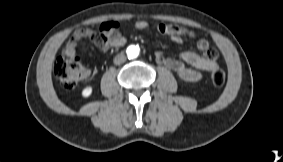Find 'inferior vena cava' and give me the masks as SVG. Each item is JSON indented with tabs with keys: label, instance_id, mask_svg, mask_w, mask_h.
<instances>
[{
	"label": "inferior vena cava",
	"instance_id": "602c4592",
	"mask_svg": "<svg viewBox=\"0 0 283 162\" xmlns=\"http://www.w3.org/2000/svg\"><path fill=\"white\" fill-rule=\"evenodd\" d=\"M126 61V56L122 53L117 54L114 58V64L115 65H121Z\"/></svg>",
	"mask_w": 283,
	"mask_h": 162
}]
</instances>
